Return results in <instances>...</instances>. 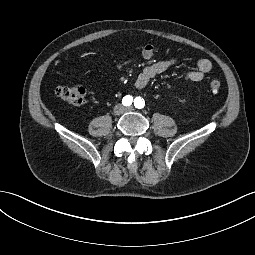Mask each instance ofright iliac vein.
Instances as JSON below:
<instances>
[{
    "mask_svg": "<svg viewBox=\"0 0 255 255\" xmlns=\"http://www.w3.org/2000/svg\"><path fill=\"white\" fill-rule=\"evenodd\" d=\"M124 111H125V109L121 104L116 105L113 110L115 115H121V114H123Z\"/></svg>",
    "mask_w": 255,
    "mask_h": 255,
    "instance_id": "1",
    "label": "right iliac vein"
}]
</instances>
